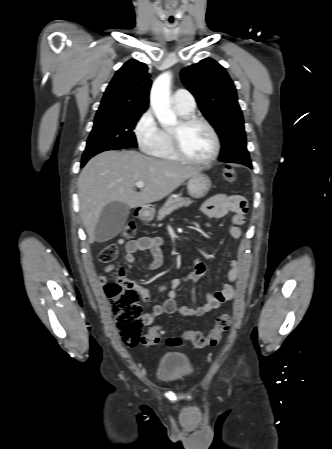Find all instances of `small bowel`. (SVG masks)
Instances as JSON below:
<instances>
[{"mask_svg":"<svg viewBox=\"0 0 332 449\" xmlns=\"http://www.w3.org/2000/svg\"><path fill=\"white\" fill-rule=\"evenodd\" d=\"M202 212L209 218H222L227 214H232V226L229 228V234L233 239L241 237V226L245 223V216L248 212V203L246 199L240 195L218 194L207 200L202 206ZM163 243L161 237H140L138 239L129 240L125 244L126 254L125 261L129 264L135 261V253L145 251L150 254V261L147 264L149 270H156L162 265V254L160 247ZM114 269V265L110 264L106 267V272ZM240 264L237 260L231 259L229 262L228 283L224 285L222 290L207 293L206 301L201 306H196L192 302L188 306L178 305L176 303V289L182 282H191L193 286L206 272V266L203 262L197 261L194 270L186 274L182 278H174L168 283L157 286L154 292L165 293L166 300L156 305L154 309L146 313L143 317L145 324L150 325L154 320L162 314H178L183 317L201 316L218 308L221 304L231 300L234 296V283L240 274ZM118 280L127 281L124 271L118 270ZM136 291L142 300L147 303L151 300L153 292L136 286Z\"/></svg>","mask_w":332,"mask_h":449,"instance_id":"1","label":"small bowel"}]
</instances>
